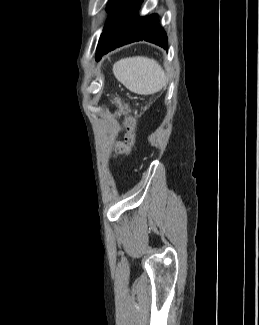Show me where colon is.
<instances>
[{
	"label": "colon",
	"instance_id": "obj_1",
	"mask_svg": "<svg viewBox=\"0 0 259 325\" xmlns=\"http://www.w3.org/2000/svg\"><path fill=\"white\" fill-rule=\"evenodd\" d=\"M126 124L128 127L127 141L131 143L135 138V133H134V119L130 115L126 119Z\"/></svg>",
	"mask_w": 259,
	"mask_h": 325
}]
</instances>
